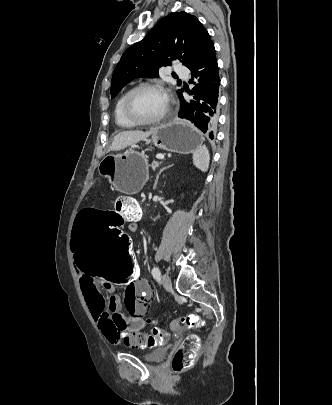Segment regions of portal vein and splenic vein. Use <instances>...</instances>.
<instances>
[{
  "label": "portal vein and splenic vein",
  "instance_id": "1",
  "mask_svg": "<svg viewBox=\"0 0 332 405\" xmlns=\"http://www.w3.org/2000/svg\"><path fill=\"white\" fill-rule=\"evenodd\" d=\"M157 158L162 160V159H164V155H158Z\"/></svg>",
  "mask_w": 332,
  "mask_h": 405
}]
</instances>
